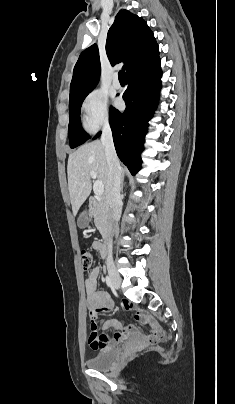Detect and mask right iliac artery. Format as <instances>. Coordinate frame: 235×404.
I'll return each mask as SVG.
<instances>
[{
  "label": "right iliac artery",
  "mask_w": 235,
  "mask_h": 404,
  "mask_svg": "<svg viewBox=\"0 0 235 404\" xmlns=\"http://www.w3.org/2000/svg\"><path fill=\"white\" fill-rule=\"evenodd\" d=\"M105 280H106V284L108 285V287H112V282L110 280V277L106 276Z\"/></svg>",
  "instance_id": "right-iliac-artery-1"
}]
</instances>
